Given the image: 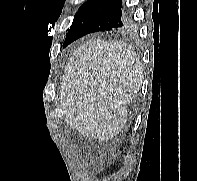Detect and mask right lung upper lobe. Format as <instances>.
Here are the masks:
<instances>
[{
    "instance_id": "obj_1",
    "label": "right lung upper lobe",
    "mask_w": 197,
    "mask_h": 181,
    "mask_svg": "<svg viewBox=\"0 0 197 181\" xmlns=\"http://www.w3.org/2000/svg\"><path fill=\"white\" fill-rule=\"evenodd\" d=\"M95 1L97 0H88L86 3H84L79 10L84 11L85 9H87L91 4H93ZM117 31H124L125 28H120V29H116Z\"/></svg>"
}]
</instances>
